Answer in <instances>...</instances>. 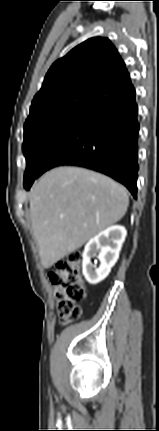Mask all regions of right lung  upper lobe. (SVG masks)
<instances>
[{
	"label": "right lung upper lobe",
	"mask_w": 159,
	"mask_h": 431,
	"mask_svg": "<svg viewBox=\"0 0 159 431\" xmlns=\"http://www.w3.org/2000/svg\"><path fill=\"white\" fill-rule=\"evenodd\" d=\"M135 93L125 63L107 38H90L57 60L25 124L61 112L89 117Z\"/></svg>",
	"instance_id": "obj_1"
}]
</instances>
